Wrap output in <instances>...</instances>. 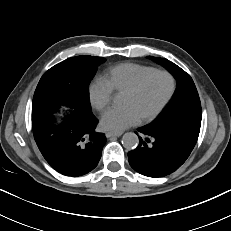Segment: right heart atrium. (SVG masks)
Listing matches in <instances>:
<instances>
[{
  "mask_svg": "<svg viewBox=\"0 0 231 231\" xmlns=\"http://www.w3.org/2000/svg\"><path fill=\"white\" fill-rule=\"evenodd\" d=\"M113 98V90L107 81L98 77L94 79L89 86V100L91 105L98 111H104Z\"/></svg>",
  "mask_w": 231,
  "mask_h": 231,
  "instance_id": "1",
  "label": "right heart atrium"
}]
</instances>
